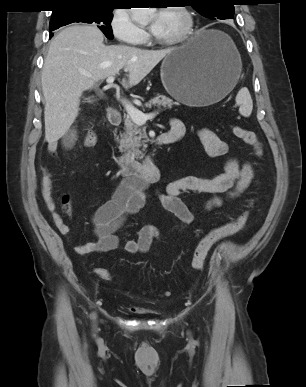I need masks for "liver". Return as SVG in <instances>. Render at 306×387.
Returning a JSON list of instances; mask_svg holds the SVG:
<instances>
[{
	"label": "liver",
	"mask_w": 306,
	"mask_h": 387,
	"mask_svg": "<svg viewBox=\"0 0 306 387\" xmlns=\"http://www.w3.org/2000/svg\"><path fill=\"white\" fill-rule=\"evenodd\" d=\"M93 25H73L60 31L50 43L41 84L45 98V139L55 144L69 130L79 112L80 97L99 81L128 71L124 88L139 84L175 48L144 50L103 43Z\"/></svg>",
	"instance_id": "liver-1"
}]
</instances>
